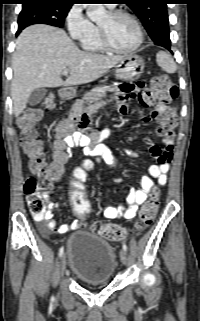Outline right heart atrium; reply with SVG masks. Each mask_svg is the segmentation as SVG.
I'll return each mask as SVG.
<instances>
[{"instance_id": "1", "label": "right heart atrium", "mask_w": 200, "mask_h": 321, "mask_svg": "<svg viewBox=\"0 0 200 321\" xmlns=\"http://www.w3.org/2000/svg\"><path fill=\"white\" fill-rule=\"evenodd\" d=\"M65 22L69 35L76 40H81L94 29L93 23L84 14L82 7L77 4L69 9Z\"/></svg>"}]
</instances>
